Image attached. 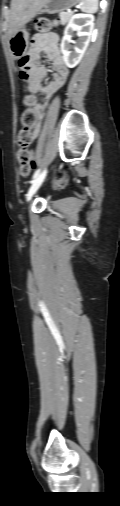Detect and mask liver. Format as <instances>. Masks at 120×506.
<instances>
[{"mask_svg":"<svg viewBox=\"0 0 120 506\" xmlns=\"http://www.w3.org/2000/svg\"><path fill=\"white\" fill-rule=\"evenodd\" d=\"M47 3V0H11L7 37L25 26Z\"/></svg>","mask_w":120,"mask_h":506,"instance_id":"1","label":"liver"}]
</instances>
